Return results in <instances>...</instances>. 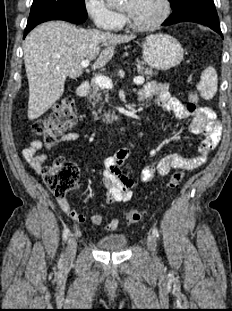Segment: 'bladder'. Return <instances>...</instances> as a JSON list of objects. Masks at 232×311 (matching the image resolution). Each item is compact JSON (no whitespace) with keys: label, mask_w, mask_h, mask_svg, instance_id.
Masks as SVG:
<instances>
[{"label":"bladder","mask_w":232,"mask_h":311,"mask_svg":"<svg viewBox=\"0 0 232 311\" xmlns=\"http://www.w3.org/2000/svg\"><path fill=\"white\" fill-rule=\"evenodd\" d=\"M127 246V238L124 234L113 233L100 237L97 247L102 251L121 252Z\"/></svg>","instance_id":"1"}]
</instances>
